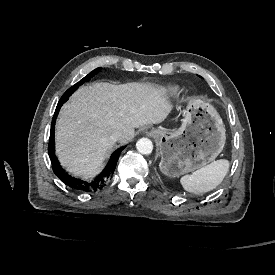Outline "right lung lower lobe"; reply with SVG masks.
<instances>
[{
	"mask_svg": "<svg viewBox=\"0 0 275 275\" xmlns=\"http://www.w3.org/2000/svg\"><path fill=\"white\" fill-rule=\"evenodd\" d=\"M67 100H68V98L60 99V101L56 107V110H55V113H54V116L52 119V123H51L48 153H49V157L51 159L53 172L67 186H69L77 191H81V192L97 191L99 189H102L104 187V185L107 183V181L112 177V174L115 170L120 153L125 147L119 148L112 154L111 159H110L109 163L107 164L106 168L104 169V171L94 180L84 181V180H81L79 178L69 175L61 167V165L59 164V161L57 160L56 155L54 153L55 152V150H54L55 122H56V118H57V115L59 113L61 106Z\"/></svg>",
	"mask_w": 275,
	"mask_h": 275,
	"instance_id": "98d812e1",
	"label": "right lung lower lobe"
}]
</instances>
